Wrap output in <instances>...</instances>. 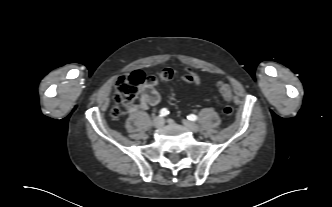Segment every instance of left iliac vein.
Wrapping results in <instances>:
<instances>
[{
    "label": "left iliac vein",
    "instance_id": "4c4485c4",
    "mask_svg": "<svg viewBox=\"0 0 332 207\" xmlns=\"http://www.w3.org/2000/svg\"><path fill=\"white\" fill-rule=\"evenodd\" d=\"M182 122L190 131L195 133L199 131V126L197 124H194L189 120H183Z\"/></svg>",
    "mask_w": 332,
    "mask_h": 207
}]
</instances>
